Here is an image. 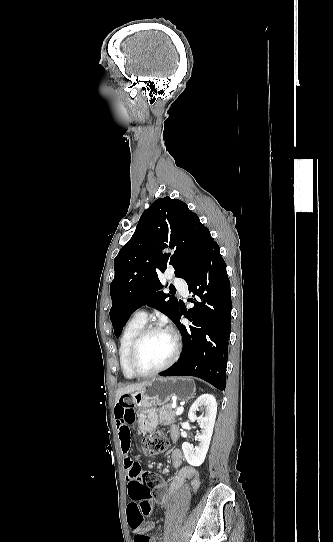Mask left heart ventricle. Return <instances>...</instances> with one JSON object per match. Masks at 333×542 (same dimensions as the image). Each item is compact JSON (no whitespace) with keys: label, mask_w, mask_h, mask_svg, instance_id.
Instances as JSON below:
<instances>
[{"label":"left heart ventricle","mask_w":333,"mask_h":542,"mask_svg":"<svg viewBox=\"0 0 333 542\" xmlns=\"http://www.w3.org/2000/svg\"><path fill=\"white\" fill-rule=\"evenodd\" d=\"M172 338L164 331L150 334L141 344L135 357L136 368L151 372L167 361L172 353Z\"/></svg>","instance_id":"b2bd125f"}]
</instances>
